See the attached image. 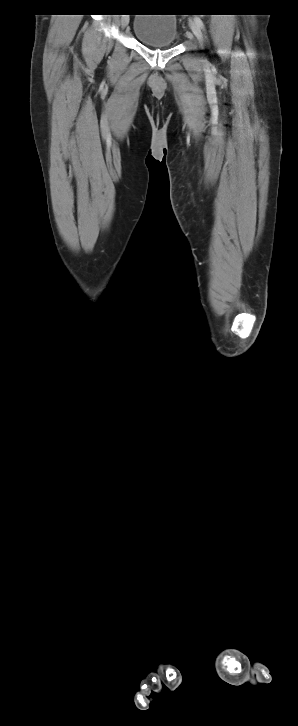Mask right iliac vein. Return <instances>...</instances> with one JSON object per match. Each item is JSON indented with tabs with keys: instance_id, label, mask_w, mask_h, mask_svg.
Returning a JSON list of instances; mask_svg holds the SVG:
<instances>
[{
	"instance_id": "obj_1",
	"label": "right iliac vein",
	"mask_w": 298,
	"mask_h": 726,
	"mask_svg": "<svg viewBox=\"0 0 298 726\" xmlns=\"http://www.w3.org/2000/svg\"><path fill=\"white\" fill-rule=\"evenodd\" d=\"M129 23V17L127 15L121 18V27L125 28Z\"/></svg>"
}]
</instances>
